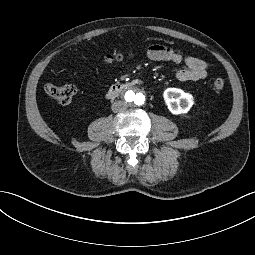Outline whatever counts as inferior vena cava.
Instances as JSON below:
<instances>
[{"label":"inferior vena cava","instance_id":"602c4592","mask_svg":"<svg viewBox=\"0 0 255 255\" xmlns=\"http://www.w3.org/2000/svg\"><path fill=\"white\" fill-rule=\"evenodd\" d=\"M127 108L128 103L125 101H115L112 105V111L116 113L125 111Z\"/></svg>","mask_w":255,"mask_h":255}]
</instances>
